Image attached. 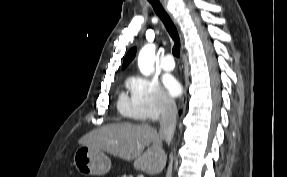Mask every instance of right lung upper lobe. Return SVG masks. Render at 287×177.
I'll list each match as a JSON object with an SVG mask.
<instances>
[{"label":"right lung upper lobe","instance_id":"cb5924a9","mask_svg":"<svg viewBox=\"0 0 287 177\" xmlns=\"http://www.w3.org/2000/svg\"><path fill=\"white\" fill-rule=\"evenodd\" d=\"M135 53H136L135 48L130 49V51L127 53V55L124 59L123 68H125L132 61V59L135 56Z\"/></svg>","mask_w":287,"mask_h":177}]
</instances>
